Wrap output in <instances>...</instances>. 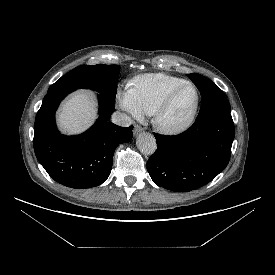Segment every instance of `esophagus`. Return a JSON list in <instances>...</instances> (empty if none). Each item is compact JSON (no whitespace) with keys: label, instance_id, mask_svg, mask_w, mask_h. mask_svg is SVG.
<instances>
[{"label":"esophagus","instance_id":"1","mask_svg":"<svg viewBox=\"0 0 275 275\" xmlns=\"http://www.w3.org/2000/svg\"><path fill=\"white\" fill-rule=\"evenodd\" d=\"M142 131V128L139 125H135L134 126V130H133V134L137 135L138 133H140Z\"/></svg>","mask_w":275,"mask_h":275}]
</instances>
